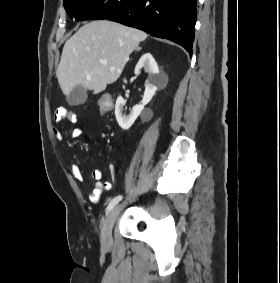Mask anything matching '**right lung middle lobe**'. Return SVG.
Returning a JSON list of instances; mask_svg holds the SVG:
<instances>
[{
  "instance_id": "right-lung-middle-lobe-1",
  "label": "right lung middle lobe",
  "mask_w": 280,
  "mask_h": 283,
  "mask_svg": "<svg viewBox=\"0 0 280 283\" xmlns=\"http://www.w3.org/2000/svg\"><path fill=\"white\" fill-rule=\"evenodd\" d=\"M132 0H64L70 17L79 20L106 19Z\"/></svg>"
}]
</instances>
